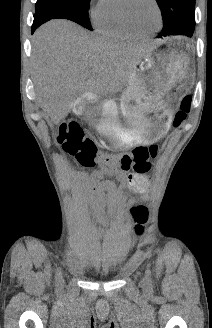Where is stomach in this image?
<instances>
[{"label":"stomach","mask_w":212,"mask_h":328,"mask_svg":"<svg viewBox=\"0 0 212 328\" xmlns=\"http://www.w3.org/2000/svg\"><path fill=\"white\" fill-rule=\"evenodd\" d=\"M188 46L167 42L146 53L126 84L120 102L102 110L98 134H105L107 149H128L149 143L168 131L178 94L191 84ZM176 90V91H175ZM103 128H107L104 131Z\"/></svg>","instance_id":"obj_1"}]
</instances>
